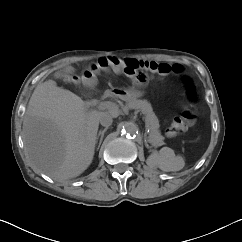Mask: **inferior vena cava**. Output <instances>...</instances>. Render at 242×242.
Wrapping results in <instances>:
<instances>
[{"label": "inferior vena cava", "instance_id": "inferior-vena-cava-1", "mask_svg": "<svg viewBox=\"0 0 242 242\" xmlns=\"http://www.w3.org/2000/svg\"><path fill=\"white\" fill-rule=\"evenodd\" d=\"M100 124L104 127H109L113 122V117L110 113L104 112L99 118Z\"/></svg>", "mask_w": 242, "mask_h": 242}]
</instances>
